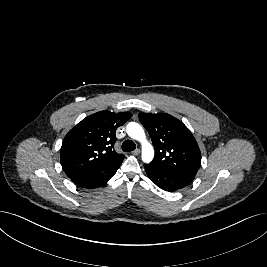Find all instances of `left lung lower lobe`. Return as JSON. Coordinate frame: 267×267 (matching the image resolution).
<instances>
[{
  "label": "left lung lower lobe",
  "mask_w": 267,
  "mask_h": 267,
  "mask_svg": "<svg viewBox=\"0 0 267 267\" xmlns=\"http://www.w3.org/2000/svg\"><path fill=\"white\" fill-rule=\"evenodd\" d=\"M148 177L161 189L166 191L179 190L192 181L191 179L157 169L150 164H144Z\"/></svg>",
  "instance_id": "1"
}]
</instances>
